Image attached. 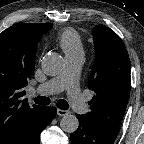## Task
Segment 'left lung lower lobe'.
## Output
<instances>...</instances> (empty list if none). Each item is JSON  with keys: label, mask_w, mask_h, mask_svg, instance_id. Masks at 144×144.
<instances>
[{"label": "left lung lower lobe", "mask_w": 144, "mask_h": 144, "mask_svg": "<svg viewBox=\"0 0 144 144\" xmlns=\"http://www.w3.org/2000/svg\"><path fill=\"white\" fill-rule=\"evenodd\" d=\"M78 129L71 134V144H113L116 133L94 126L83 115H77Z\"/></svg>", "instance_id": "obj_1"}]
</instances>
